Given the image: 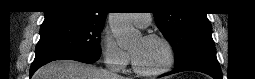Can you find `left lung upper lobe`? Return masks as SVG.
I'll list each match as a JSON object with an SVG mask.
<instances>
[{
	"label": "left lung upper lobe",
	"mask_w": 255,
	"mask_h": 79,
	"mask_svg": "<svg viewBox=\"0 0 255 79\" xmlns=\"http://www.w3.org/2000/svg\"><path fill=\"white\" fill-rule=\"evenodd\" d=\"M160 2L166 7L168 1ZM153 14L157 27L175 51L176 67L196 58L216 55L211 24L205 13L190 10L168 12L164 8Z\"/></svg>",
	"instance_id": "5c2ea615"
}]
</instances>
